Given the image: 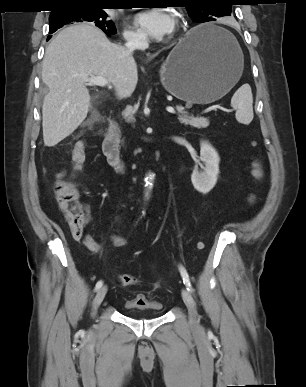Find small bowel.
Returning a JSON list of instances; mask_svg holds the SVG:
<instances>
[{
  "instance_id": "obj_1",
  "label": "small bowel",
  "mask_w": 306,
  "mask_h": 387,
  "mask_svg": "<svg viewBox=\"0 0 306 387\" xmlns=\"http://www.w3.org/2000/svg\"><path fill=\"white\" fill-rule=\"evenodd\" d=\"M65 174H66V171L64 169H62L55 174V178L61 179L65 176ZM112 240H113L114 245L117 247H122L126 244L125 239L120 237V236L114 235V236H112ZM84 244H85L86 248L91 252H97L99 250V244L94 240V238L90 234L85 236ZM136 302L142 303L143 300L141 298H138Z\"/></svg>"
}]
</instances>
